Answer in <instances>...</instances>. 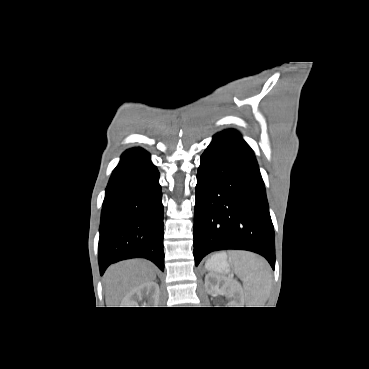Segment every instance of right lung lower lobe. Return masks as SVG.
<instances>
[{
  "label": "right lung lower lobe",
  "instance_id": "right-lung-lower-lobe-1",
  "mask_svg": "<svg viewBox=\"0 0 369 369\" xmlns=\"http://www.w3.org/2000/svg\"><path fill=\"white\" fill-rule=\"evenodd\" d=\"M159 172L141 148L125 151L103 202L98 258L101 275L117 261L142 257L164 270Z\"/></svg>",
  "mask_w": 369,
  "mask_h": 369
}]
</instances>
